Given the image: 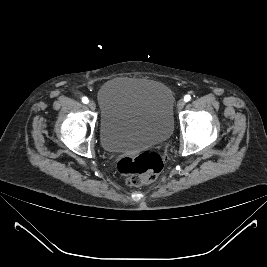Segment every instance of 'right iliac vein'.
Here are the masks:
<instances>
[{
    "mask_svg": "<svg viewBox=\"0 0 267 267\" xmlns=\"http://www.w3.org/2000/svg\"><path fill=\"white\" fill-rule=\"evenodd\" d=\"M88 105H89L90 109H92V110H95V109H96V104H95L94 101H90V102L88 103Z\"/></svg>",
    "mask_w": 267,
    "mask_h": 267,
    "instance_id": "obj_1",
    "label": "right iliac vein"
}]
</instances>
